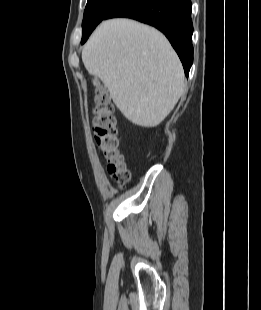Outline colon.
Wrapping results in <instances>:
<instances>
[{
  "mask_svg": "<svg viewBox=\"0 0 261 310\" xmlns=\"http://www.w3.org/2000/svg\"><path fill=\"white\" fill-rule=\"evenodd\" d=\"M93 113L96 143L105 158L109 174L120 186H123L129 181L130 172L119 147V124L115 109L108 93L102 88L96 93Z\"/></svg>",
  "mask_w": 261,
  "mask_h": 310,
  "instance_id": "obj_1",
  "label": "colon"
}]
</instances>
